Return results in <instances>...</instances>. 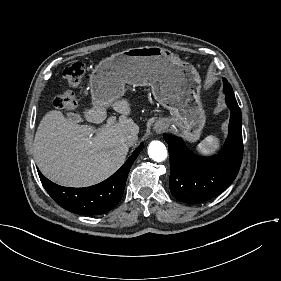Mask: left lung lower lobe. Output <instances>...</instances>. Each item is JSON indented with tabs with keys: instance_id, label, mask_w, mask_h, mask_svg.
I'll return each mask as SVG.
<instances>
[{
	"instance_id": "0a47b994",
	"label": "left lung lower lobe",
	"mask_w": 281,
	"mask_h": 281,
	"mask_svg": "<svg viewBox=\"0 0 281 281\" xmlns=\"http://www.w3.org/2000/svg\"><path fill=\"white\" fill-rule=\"evenodd\" d=\"M230 108L229 134L220 153L193 154L181 138L164 135L170 157V191L179 201L202 203L223 192L236 178L243 156L242 116L234 95H226Z\"/></svg>"
}]
</instances>
